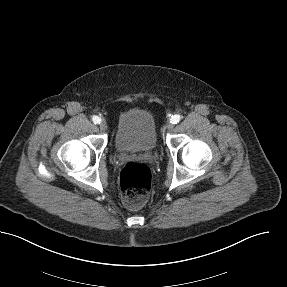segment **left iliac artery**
<instances>
[{"label": "left iliac artery", "instance_id": "1", "mask_svg": "<svg viewBox=\"0 0 287 287\" xmlns=\"http://www.w3.org/2000/svg\"><path fill=\"white\" fill-rule=\"evenodd\" d=\"M180 120H181V116L176 114V115L172 116V118L170 119V122L172 124H177V123H179Z\"/></svg>", "mask_w": 287, "mask_h": 287}]
</instances>
